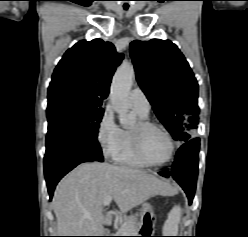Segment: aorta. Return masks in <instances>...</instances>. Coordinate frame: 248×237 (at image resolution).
<instances>
[{
    "mask_svg": "<svg viewBox=\"0 0 248 237\" xmlns=\"http://www.w3.org/2000/svg\"><path fill=\"white\" fill-rule=\"evenodd\" d=\"M135 76L133 65L129 62H123L115 72L111 88L110 101L113 109L119 115L120 124L131 125L134 121L129 114V92Z\"/></svg>",
    "mask_w": 248,
    "mask_h": 237,
    "instance_id": "1",
    "label": "aorta"
}]
</instances>
